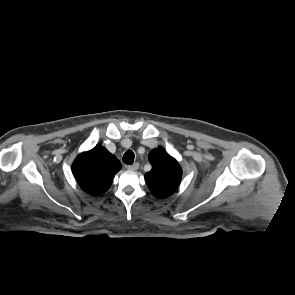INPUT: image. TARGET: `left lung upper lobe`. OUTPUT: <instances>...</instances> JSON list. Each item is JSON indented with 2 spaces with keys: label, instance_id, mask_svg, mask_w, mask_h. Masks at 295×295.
Listing matches in <instances>:
<instances>
[{
  "label": "left lung upper lobe",
  "instance_id": "1",
  "mask_svg": "<svg viewBox=\"0 0 295 295\" xmlns=\"http://www.w3.org/2000/svg\"><path fill=\"white\" fill-rule=\"evenodd\" d=\"M148 158L152 164L151 171L145 174L149 190L157 198L170 196L176 191L182 178L179 163L162 148L153 149Z\"/></svg>",
  "mask_w": 295,
  "mask_h": 295
}]
</instances>
